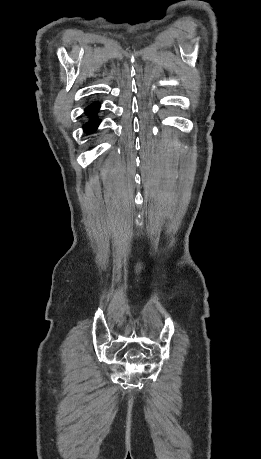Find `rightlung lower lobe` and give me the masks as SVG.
<instances>
[{
	"instance_id": "right-lung-lower-lobe-1",
	"label": "right lung lower lobe",
	"mask_w": 261,
	"mask_h": 459,
	"mask_svg": "<svg viewBox=\"0 0 261 459\" xmlns=\"http://www.w3.org/2000/svg\"><path fill=\"white\" fill-rule=\"evenodd\" d=\"M99 108H100V105L98 103H93L86 108V113H88L91 116V121L88 122L84 126L85 132L87 133L93 132L97 128L98 124L100 123V120L95 115Z\"/></svg>"
}]
</instances>
